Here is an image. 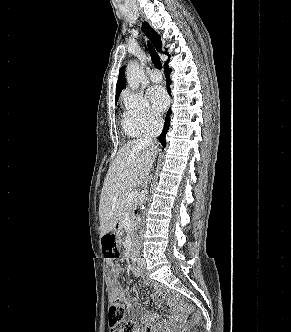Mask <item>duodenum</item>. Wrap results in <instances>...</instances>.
Wrapping results in <instances>:
<instances>
[{
    "label": "duodenum",
    "instance_id": "410a0bca",
    "mask_svg": "<svg viewBox=\"0 0 291 332\" xmlns=\"http://www.w3.org/2000/svg\"><path fill=\"white\" fill-rule=\"evenodd\" d=\"M135 248H136V244L134 241H132L129 246V251H128L129 257H133L135 255Z\"/></svg>",
    "mask_w": 291,
    "mask_h": 332
}]
</instances>
